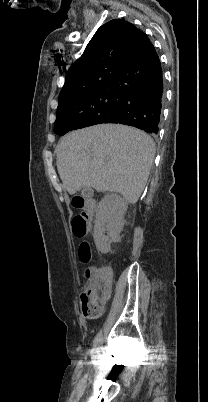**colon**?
Instances as JSON below:
<instances>
[{
    "label": "colon",
    "instance_id": "colon-1",
    "mask_svg": "<svg viewBox=\"0 0 208 402\" xmlns=\"http://www.w3.org/2000/svg\"><path fill=\"white\" fill-rule=\"evenodd\" d=\"M73 234L77 238H82L87 235L90 227V219L87 216H76L72 220ZM91 244L89 241H82L80 247H77L76 254L81 259L82 265H87L84 273L86 285L83 287V292L80 293L82 301L83 314H104L106 308L107 296L112 294L111 272L110 266H103L99 272V264L93 261L91 256H88Z\"/></svg>",
    "mask_w": 208,
    "mask_h": 402
}]
</instances>
